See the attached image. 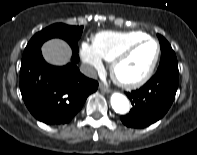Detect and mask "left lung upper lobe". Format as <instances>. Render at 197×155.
I'll list each match as a JSON object with an SVG mask.
<instances>
[{
  "label": "left lung upper lobe",
  "mask_w": 197,
  "mask_h": 155,
  "mask_svg": "<svg viewBox=\"0 0 197 155\" xmlns=\"http://www.w3.org/2000/svg\"><path fill=\"white\" fill-rule=\"evenodd\" d=\"M157 36L159 38L161 48V60L157 72L165 69L178 71L177 58L170 44L163 36L159 34H157Z\"/></svg>",
  "instance_id": "5c2ea615"
}]
</instances>
